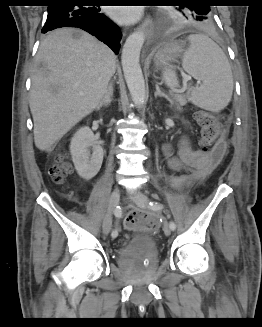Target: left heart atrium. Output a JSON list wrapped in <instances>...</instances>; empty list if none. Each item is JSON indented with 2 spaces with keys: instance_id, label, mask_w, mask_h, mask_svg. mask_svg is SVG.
<instances>
[{
  "instance_id": "obj_1",
  "label": "left heart atrium",
  "mask_w": 262,
  "mask_h": 327,
  "mask_svg": "<svg viewBox=\"0 0 262 327\" xmlns=\"http://www.w3.org/2000/svg\"><path fill=\"white\" fill-rule=\"evenodd\" d=\"M109 14L118 22L130 23L138 19L140 11L134 7H115L109 10Z\"/></svg>"
}]
</instances>
